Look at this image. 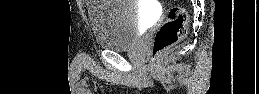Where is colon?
Listing matches in <instances>:
<instances>
[{
	"label": "colon",
	"mask_w": 259,
	"mask_h": 94,
	"mask_svg": "<svg viewBox=\"0 0 259 94\" xmlns=\"http://www.w3.org/2000/svg\"><path fill=\"white\" fill-rule=\"evenodd\" d=\"M187 10L179 5L172 6L166 20L154 34L151 48V62L154 64L161 52L168 49L186 35Z\"/></svg>",
	"instance_id": "obj_1"
}]
</instances>
